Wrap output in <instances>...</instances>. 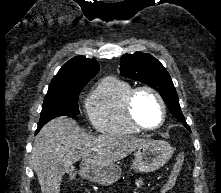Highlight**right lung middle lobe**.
Listing matches in <instances>:
<instances>
[{"label":"right lung middle lobe","instance_id":"dd1d6c3e","mask_svg":"<svg viewBox=\"0 0 221 193\" xmlns=\"http://www.w3.org/2000/svg\"><path fill=\"white\" fill-rule=\"evenodd\" d=\"M84 86L48 90L42 105L38 127H43L48 121L58 116L78 115V98Z\"/></svg>","mask_w":221,"mask_h":193}]
</instances>
